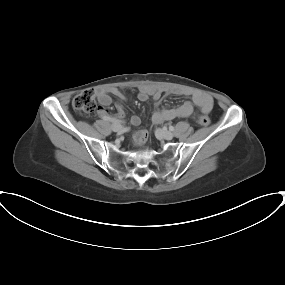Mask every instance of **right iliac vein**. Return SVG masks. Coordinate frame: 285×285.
Returning a JSON list of instances; mask_svg holds the SVG:
<instances>
[{"label":"right iliac vein","instance_id":"63e3f726","mask_svg":"<svg viewBox=\"0 0 285 285\" xmlns=\"http://www.w3.org/2000/svg\"><path fill=\"white\" fill-rule=\"evenodd\" d=\"M112 130L114 132H121L123 130V127L120 124L115 123L112 125Z\"/></svg>","mask_w":285,"mask_h":285}]
</instances>
